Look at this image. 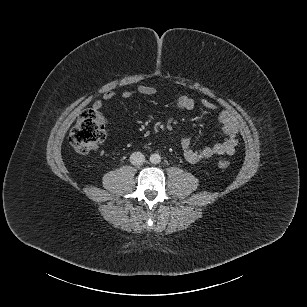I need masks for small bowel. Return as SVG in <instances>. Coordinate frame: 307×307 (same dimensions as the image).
Masks as SVG:
<instances>
[{"label":"small bowel","mask_w":307,"mask_h":307,"mask_svg":"<svg viewBox=\"0 0 307 307\" xmlns=\"http://www.w3.org/2000/svg\"><path fill=\"white\" fill-rule=\"evenodd\" d=\"M156 93V88L148 85L141 84L136 90H124L121 93L122 98L129 99L135 94L143 96H151ZM115 98L113 91H108L103 94L102 99L94 101L92 108L97 112L98 117L103 123L107 120L103 114V106L105 102H110ZM201 106L208 111H217V105L208 100L202 99L200 101ZM177 106L182 110H193L196 107V101L186 95H182L177 99ZM215 121L220 125L223 134L227 137L224 141L216 143L212 146H206L198 150L192 147V141L190 137H185L181 141V147L184 152V157L189 163H198L202 160L209 159L215 155H233L235 149L239 143L238 140V126L234 118L225 111L216 112Z\"/></svg>","instance_id":"c3829d8e"}]
</instances>
